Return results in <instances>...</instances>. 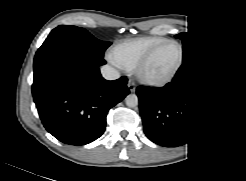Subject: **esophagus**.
I'll use <instances>...</instances> for the list:
<instances>
[{
    "mask_svg": "<svg viewBox=\"0 0 246 181\" xmlns=\"http://www.w3.org/2000/svg\"><path fill=\"white\" fill-rule=\"evenodd\" d=\"M128 88L131 92L135 91V84L131 81L128 82Z\"/></svg>",
    "mask_w": 246,
    "mask_h": 181,
    "instance_id": "obj_1",
    "label": "esophagus"
}]
</instances>
